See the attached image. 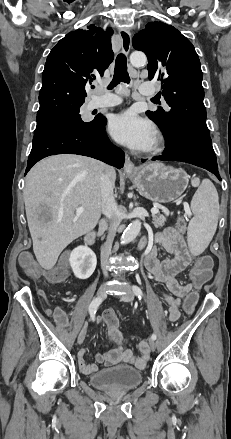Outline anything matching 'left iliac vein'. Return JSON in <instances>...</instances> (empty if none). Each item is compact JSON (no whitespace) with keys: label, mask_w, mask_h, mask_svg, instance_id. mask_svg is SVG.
<instances>
[{"label":"left iliac vein","mask_w":231,"mask_h":439,"mask_svg":"<svg viewBox=\"0 0 231 439\" xmlns=\"http://www.w3.org/2000/svg\"><path fill=\"white\" fill-rule=\"evenodd\" d=\"M120 299L125 301V302H133L134 293L130 289H126L125 293L120 296ZM149 344H150L151 351H155L156 344H155L154 340L151 339L149 341Z\"/></svg>","instance_id":"1"}]
</instances>
